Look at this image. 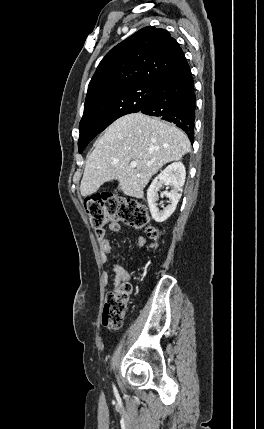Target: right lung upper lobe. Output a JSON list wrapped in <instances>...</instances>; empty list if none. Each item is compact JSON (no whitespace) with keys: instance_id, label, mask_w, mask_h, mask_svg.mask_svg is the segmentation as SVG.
Wrapping results in <instances>:
<instances>
[{"instance_id":"obj_1","label":"right lung upper lobe","mask_w":264,"mask_h":429,"mask_svg":"<svg viewBox=\"0 0 264 429\" xmlns=\"http://www.w3.org/2000/svg\"><path fill=\"white\" fill-rule=\"evenodd\" d=\"M177 41L164 29L145 27L111 49L92 77L86 102L136 85H156L182 59Z\"/></svg>"}]
</instances>
